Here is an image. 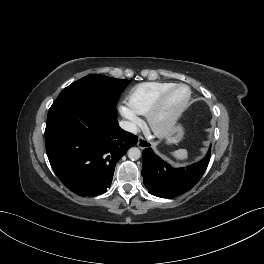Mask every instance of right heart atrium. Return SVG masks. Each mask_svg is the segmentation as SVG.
Returning <instances> with one entry per match:
<instances>
[{
  "instance_id": "1",
  "label": "right heart atrium",
  "mask_w": 264,
  "mask_h": 264,
  "mask_svg": "<svg viewBox=\"0 0 264 264\" xmlns=\"http://www.w3.org/2000/svg\"><path fill=\"white\" fill-rule=\"evenodd\" d=\"M119 110L121 114L129 121L132 128H135L140 123V119L137 114L133 112L128 106L120 105Z\"/></svg>"
}]
</instances>
